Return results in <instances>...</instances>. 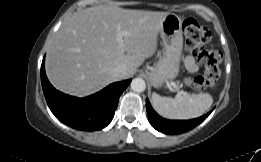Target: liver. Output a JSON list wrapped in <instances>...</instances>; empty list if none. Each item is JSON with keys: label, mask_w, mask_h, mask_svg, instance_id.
<instances>
[{"label": "liver", "mask_w": 261, "mask_h": 162, "mask_svg": "<svg viewBox=\"0 0 261 162\" xmlns=\"http://www.w3.org/2000/svg\"><path fill=\"white\" fill-rule=\"evenodd\" d=\"M168 12L95 6L66 18L46 56L48 79L58 90L83 97L119 79L132 77L157 50L158 33ZM123 36L124 46L118 42ZM125 66L121 78L113 75Z\"/></svg>", "instance_id": "liver-1"}]
</instances>
